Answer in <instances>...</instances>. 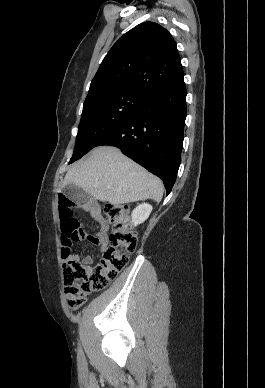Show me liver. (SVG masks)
Masks as SVG:
<instances>
[{"label": "liver", "instance_id": "6515ba94", "mask_svg": "<svg viewBox=\"0 0 265 388\" xmlns=\"http://www.w3.org/2000/svg\"><path fill=\"white\" fill-rule=\"evenodd\" d=\"M75 184L95 200L128 204L138 200L160 202L164 186L156 176L123 156L118 148L99 146L90 158L67 172L62 186Z\"/></svg>", "mask_w": 265, "mask_h": 388}]
</instances>
